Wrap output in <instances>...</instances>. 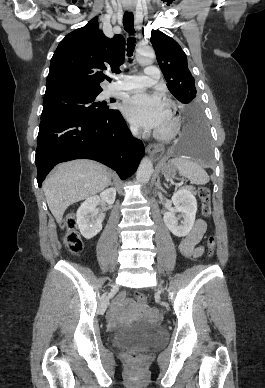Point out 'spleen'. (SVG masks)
Here are the masks:
<instances>
[{
	"label": "spleen",
	"mask_w": 265,
	"mask_h": 388,
	"mask_svg": "<svg viewBox=\"0 0 265 388\" xmlns=\"http://www.w3.org/2000/svg\"><path fill=\"white\" fill-rule=\"evenodd\" d=\"M174 166H176L180 176L183 178H188L191 184H198V186H203L209 182V176L206 174L205 170L193 162L191 158H173L170 160Z\"/></svg>",
	"instance_id": "1"
}]
</instances>
